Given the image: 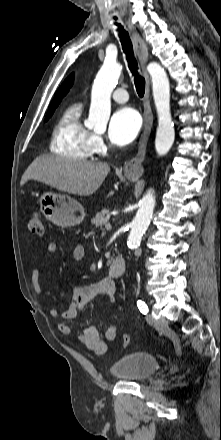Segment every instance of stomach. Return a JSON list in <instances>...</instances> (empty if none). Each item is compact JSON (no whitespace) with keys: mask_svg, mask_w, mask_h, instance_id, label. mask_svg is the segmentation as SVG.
Masks as SVG:
<instances>
[{"mask_svg":"<svg viewBox=\"0 0 221 440\" xmlns=\"http://www.w3.org/2000/svg\"><path fill=\"white\" fill-rule=\"evenodd\" d=\"M126 177L131 181L136 180V176L130 173H127ZM40 211L46 219L60 227L78 225L85 217L84 208L77 200L52 192L41 195Z\"/></svg>","mask_w":221,"mask_h":440,"instance_id":"0dacf381","label":"stomach"}]
</instances>
